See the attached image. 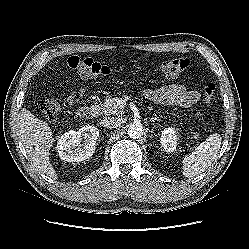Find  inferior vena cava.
<instances>
[{
  "label": "inferior vena cava",
  "mask_w": 249,
  "mask_h": 249,
  "mask_svg": "<svg viewBox=\"0 0 249 249\" xmlns=\"http://www.w3.org/2000/svg\"><path fill=\"white\" fill-rule=\"evenodd\" d=\"M101 124L106 128H116L121 124V122L116 118H105L101 121Z\"/></svg>",
  "instance_id": "1"
}]
</instances>
